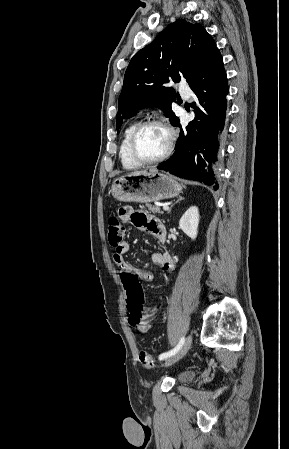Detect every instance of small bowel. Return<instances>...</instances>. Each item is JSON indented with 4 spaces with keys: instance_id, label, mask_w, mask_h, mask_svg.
I'll return each instance as SVG.
<instances>
[{
    "instance_id": "c3829d8e",
    "label": "small bowel",
    "mask_w": 289,
    "mask_h": 449,
    "mask_svg": "<svg viewBox=\"0 0 289 449\" xmlns=\"http://www.w3.org/2000/svg\"><path fill=\"white\" fill-rule=\"evenodd\" d=\"M120 217L127 222H130L135 227L148 232L153 235L159 242H164L166 238V231L164 225L154 216L141 211L135 210L131 207H123L119 210ZM130 250V245L123 242L116 247L113 253V260L121 271H133L136 278L144 281H152L154 275L151 271L135 267L131 265L126 259L125 254ZM151 261L154 265L161 267L165 271L174 270V262L167 252H154L151 254ZM156 307L147 306L141 324L137 327L142 333H146L151 329V320L155 316Z\"/></svg>"
}]
</instances>
